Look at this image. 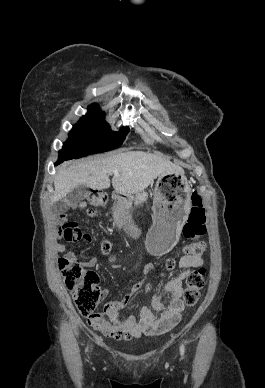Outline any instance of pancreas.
Instances as JSON below:
<instances>
[{"instance_id":"obj_1","label":"pancreas","mask_w":265,"mask_h":388,"mask_svg":"<svg viewBox=\"0 0 265 388\" xmlns=\"http://www.w3.org/2000/svg\"><path fill=\"white\" fill-rule=\"evenodd\" d=\"M147 198H148V194H146V192H141V194H136L135 206H138V204H141V202H146Z\"/></svg>"}]
</instances>
